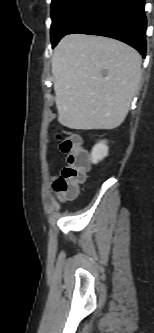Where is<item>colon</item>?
Returning <instances> with one entry per match:
<instances>
[{
  "label": "colon",
  "instance_id": "colon-1",
  "mask_svg": "<svg viewBox=\"0 0 154 333\" xmlns=\"http://www.w3.org/2000/svg\"><path fill=\"white\" fill-rule=\"evenodd\" d=\"M57 138L60 150L67 158L61 174L53 182V190L61 200H68L77 195L80 184L85 181L88 157L77 135L65 131L59 133Z\"/></svg>",
  "mask_w": 154,
  "mask_h": 333
}]
</instances>
